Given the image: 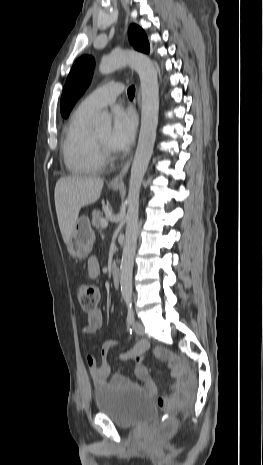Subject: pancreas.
I'll use <instances>...</instances> for the list:
<instances>
[{"label":"pancreas","mask_w":263,"mask_h":465,"mask_svg":"<svg viewBox=\"0 0 263 465\" xmlns=\"http://www.w3.org/2000/svg\"><path fill=\"white\" fill-rule=\"evenodd\" d=\"M103 219L102 213L100 211H94L92 213V225L96 229H101V220Z\"/></svg>","instance_id":"obj_1"}]
</instances>
